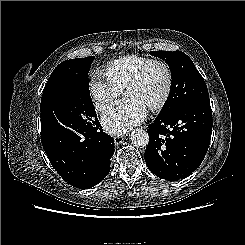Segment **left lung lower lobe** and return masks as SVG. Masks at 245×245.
Masks as SVG:
<instances>
[{
  "label": "left lung lower lobe",
  "mask_w": 245,
  "mask_h": 245,
  "mask_svg": "<svg viewBox=\"0 0 245 245\" xmlns=\"http://www.w3.org/2000/svg\"><path fill=\"white\" fill-rule=\"evenodd\" d=\"M209 98L190 101L169 117L148 126L144 158L149 170L168 181L184 179L202 163L212 133Z\"/></svg>",
  "instance_id": "1"
}]
</instances>
